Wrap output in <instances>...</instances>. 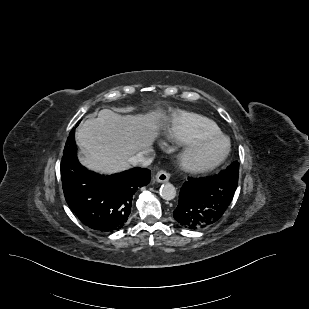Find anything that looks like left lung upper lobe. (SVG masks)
Instances as JSON below:
<instances>
[{
    "mask_svg": "<svg viewBox=\"0 0 309 309\" xmlns=\"http://www.w3.org/2000/svg\"><path fill=\"white\" fill-rule=\"evenodd\" d=\"M225 171L238 178L239 177V163L237 161L233 162L230 166L227 167Z\"/></svg>",
    "mask_w": 309,
    "mask_h": 309,
    "instance_id": "obj_1",
    "label": "left lung upper lobe"
}]
</instances>
